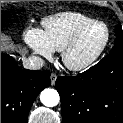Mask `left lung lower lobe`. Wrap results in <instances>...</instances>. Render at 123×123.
Instances as JSON below:
<instances>
[{"label": "left lung lower lobe", "instance_id": "obj_1", "mask_svg": "<svg viewBox=\"0 0 123 123\" xmlns=\"http://www.w3.org/2000/svg\"><path fill=\"white\" fill-rule=\"evenodd\" d=\"M63 123H123V50L77 76L58 77Z\"/></svg>", "mask_w": 123, "mask_h": 123}]
</instances>
